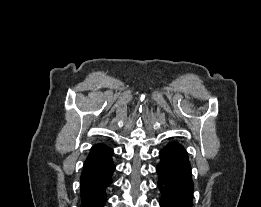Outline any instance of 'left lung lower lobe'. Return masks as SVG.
<instances>
[{
    "mask_svg": "<svg viewBox=\"0 0 261 207\" xmlns=\"http://www.w3.org/2000/svg\"><path fill=\"white\" fill-rule=\"evenodd\" d=\"M156 167L161 207H192L194 184L186 149L169 142L160 152Z\"/></svg>",
    "mask_w": 261,
    "mask_h": 207,
    "instance_id": "1",
    "label": "left lung lower lobe"
}]
</instances>
